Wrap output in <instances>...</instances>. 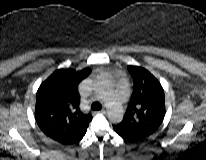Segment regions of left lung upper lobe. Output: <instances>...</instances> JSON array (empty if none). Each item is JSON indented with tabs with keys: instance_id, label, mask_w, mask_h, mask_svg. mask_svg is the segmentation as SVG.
Here are the masks:
<instances>
[{
	"instance_id": "1",
	"label": "left lung upper lobe",
	"mask_w": 206,
	"mask_h": 160,
	"mask_svg": "<svg viewBox=\"0 0 206 160\" xmlns=\"http://www.w3.org/2000/svg\"><path fill=\"white\" fill-rule=\"evenodd\" d=\"M133 93L122 122L114 129L144 138L154 133L165 115V97L160 82L146 69L128 66Z\"/></svg>"
}]
</instances>
